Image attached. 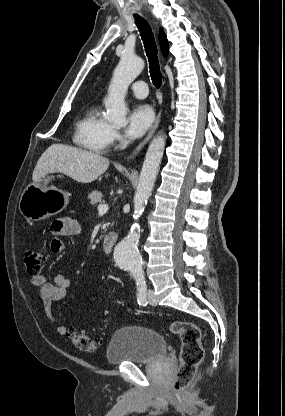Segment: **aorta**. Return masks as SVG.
Here are the masks:
<instances>
[{"label": "aorta", "mask_w": 285, "mask_h": 416, "mask_svg": "<svg viewBox=\"0 0 285 416\" xmlns=\"http://www.w3.org/2000/svg\"><path fill=\"white\" fill-rule=\"evenodd\" d=\"M144 61L136 55H124L114 70L108 95L105 99V118L118 125L126 123L128 108L125 95L129 85L141 73ZM165 148L164 135H157L150 143L134 195V223L128 235L114 249V259L117 265L128 270L134 277L142 276V257L138 250L140 226L137 222L144 211L149 196L153 190Z\"/></svg>", "instance_id": "obj_1"}]
</instances>
